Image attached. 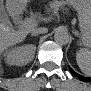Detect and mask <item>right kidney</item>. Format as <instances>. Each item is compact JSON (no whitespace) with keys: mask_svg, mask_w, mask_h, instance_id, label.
Wrapping results in <instances>:
<instances>
[{"mask_svg":"<svg viewBox=\"0 0 91 91\" xmlns=\"http://www.w3.org/2000/svg\"><path fill=\"white\" fill-rule=\"evenodd\" d=\"M35 49L36 47L32 45L13 48L4 54L5 60L10 65H20L26 58L27 54H29L31 50Z\"/></svg>","mask_w":91,"mask_h":91,"instance_id":"right-kidney-1","label":"right kidney"}]
</instances>
